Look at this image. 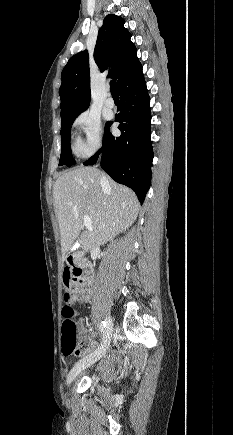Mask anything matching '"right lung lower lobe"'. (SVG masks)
I'll return each instance as SVG.
<instances>
[{
  "mask_svg": "<svg viewBox=\"0 0 233 435\" xmlns=\"http://www.w3.org/2000/svg\"><path fill=\"white\" fill-rule=\"evenodd\" d=\"M118 91L120 105L115 121L120 122L121 136L111 134L112 122H108L102 148L83 164H95L102 152L101 167L113 180L130 187L142 204L150 187L153 160L150 98L143 73L123 82Z\"/></svg>",
  "mask_w": 233,
  "mask_h": 435,
  "instance_id": "1",
  "label": "right lung lower lobe"
}]
</instances>
